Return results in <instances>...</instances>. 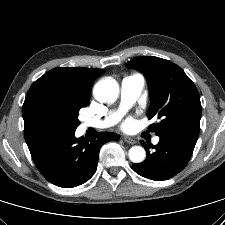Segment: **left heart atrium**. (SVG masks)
<instances>
[{
    "mask_svg": "<svg viewBox=\"0 0 225 225\" xmlns=\"http://www.w3.org/2000/svg\"><path fill=\"white\" fill-rule=\"evenodd\" d=\"M133 124V120L131 118H127L124 123H123V126L125 128H129L131 125Z\"/></svg>",
    "mask_w": 225,
    "mask_h": 225,
    "instance_id": "left-heart-atrium-1",
    "label": "left heart atrium"
}]
</instances>
